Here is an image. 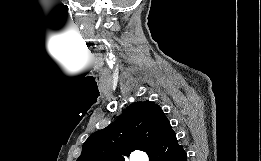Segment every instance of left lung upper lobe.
<instances>
[{
	"label": "left lung upper lobe",
	"instance_id": "1",
	"mask_svg": "<svg viewBox=\"0 0 261 161\" xmlns=\"http://www.w3.org/2000/svg\"><path fill=\"white\" fill-rule=\"evenodd\" d=\"M174 131L159 105L139 101L129 105L109 126L93 133L82 145L77 161H125L134 150L149 154Z\"/></svg>",
	"mask_w": 261,
	"mask_h": 161
}]
</instances>
